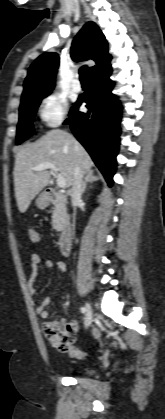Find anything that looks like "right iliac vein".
<instances>
[{"instance_id": "right-iliac-vein-1", "label": "right iliac vein", "mask_w": 165, "mask_h": 419, "mask_svg": "<svg viewBox=\"0 0 165 419\" xmlns=\"http://www.w3.org/2000/svg\"><path fill=\"white\" fill-rule=\"evenodd\" d=\"M85 308H86L85 327L88 328L92 323L93 314H92L91 305L89 303L86 304Z\"/></svg>"}]
</instances>
